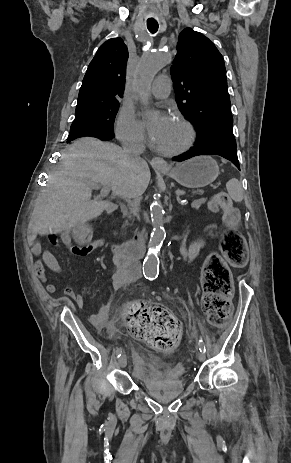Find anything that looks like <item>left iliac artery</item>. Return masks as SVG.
<instances>
[{"label": "left iliac artery", "instance_id": "obj_1", "mask_svg": "<svg viewBox=\"0 0 291 463\" xmlns=\"http://www.w3.org/2000/svg\"><path fill=\"white\" fill-rule=\"evenodd\" d=\"M199 350L200 352H204V353L206 352L205 344L202 339L199 340Z\"/></svg>", "mask_w": 291, "mask_h": 463}]
</instances>
